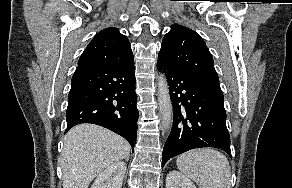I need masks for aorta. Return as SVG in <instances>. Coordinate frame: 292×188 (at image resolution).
<instances>
[{
    "instance_id": "762f6f07",
    "label": "aorta",
    "mask_w": 292,
    "mask_h": 188,
    "mask_svg": "<svg viewBox=\"0 0 292 188\" xmlns=\"http://www.w3.org/2000/svg\"><path fill=\"white\" fill-rule=\"evenodd\" d=\"M158 103L161 115L162 127L169 130L172 125L173 107L169 93V86L164 73H160L158 78Z\"/></svg>"
}]
</instances>
